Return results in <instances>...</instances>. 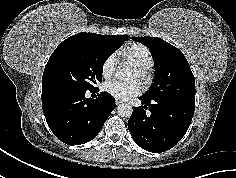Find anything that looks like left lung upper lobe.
Wrapping results in <instances>:
<instances>
[{"label":"left lung upper lobe","instance_id":"1","mask_svg":"<svg viewBox=\"0 0 236 178\" xmlns=\"http://www.w3.org/2000/svg\"><path fill=\"white\" fill-rule=\"evenodd\" d=\"M131 39L148 47L155 63L154 85L143 97L195 104V80L183 53L157 37Z\"/></svg>","mask_w":236,"mask_h":178}]
</instances>
